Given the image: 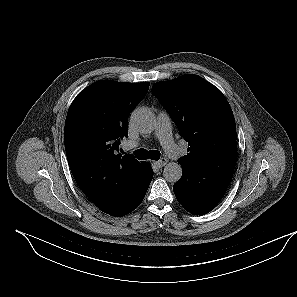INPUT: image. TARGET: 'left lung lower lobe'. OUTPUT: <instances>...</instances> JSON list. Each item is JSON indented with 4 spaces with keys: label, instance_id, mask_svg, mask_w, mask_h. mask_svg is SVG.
Wrapping results in <instances>:
<instances>
[{
    "label": "left lung lower lobe",
    "instance_id": "left-lung-lower-lobe-1",
    "mask_svg": "<svg viewBox=\"0 0 297 297\" xmlns=\"http://www.w3.org/2000/svg\"><path fill=\"white\" fill-rule=\"evenodd\" d=\"M182 170V178L173 186L178 202L194 215L207 214L217 206L228 187L213 192H193L190 186L191 175L184 169Z\"/></svg>",
    "mask_w": 297,
    "mask_h": 297
}]
</instances>
